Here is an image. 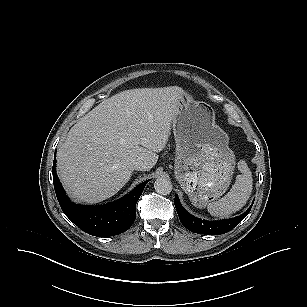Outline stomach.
<instances>
[{
	"mask_svg": "<svg viewBox=\"0 0 307 307\" xmlns=\"http://www.w3.org/2000/svg\"><path fill=\"white\" fill-rule=\"evenodd\" d=\"M176 142L175 177L199 207L218 199L228 189L235 155L228 135L215 123V112L185 92L172 121Z\"/></svg>",
	"mask_w": 307,
	"mask_h": 307,
	"instance_id": "1",
	"label": "stomach"
}]
</instances>
